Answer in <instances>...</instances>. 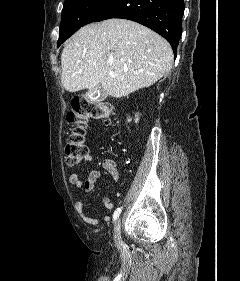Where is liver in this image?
Masks as SVG:
<instances>
[{"mask_svg": "<svg viewBox=\"0 0 240 281\" xmlns=\"http://www.w3.org/2000/svg\"><path fill=\"white\" fill-rule=\"evenodd\" d=\"M170 44L151 29L108 19L77 31L61 54V83L69 92L101 86L121 98L150 87L170 71Z\"/></svg>", "mask_w": 240, "mask_h": 281, "instance_id": "obj_1", "label": "liver"}]
</instances>
